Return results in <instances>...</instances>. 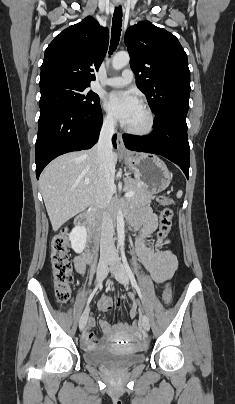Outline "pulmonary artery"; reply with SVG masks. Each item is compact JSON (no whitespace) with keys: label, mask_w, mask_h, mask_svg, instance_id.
Returning <instances> with one entry per match:
<instances>
[{"label":"pulmonary artery","mask_w":235,"mask_h":404,"mask_svg":"<svg viewBox=\"0 0 235 404\" xmlns=\"http://www.w3.org/2000/svg\"><path fill=\"white\" fill-rule=\"evenodd\" d=\"M133 76V72L129 69H126L122 72L121 76L108 78L105 81V84L112 87H123L132 82Z\"/></svg>","instance_id":"pulmonary-artery-1"}]
</instances>
